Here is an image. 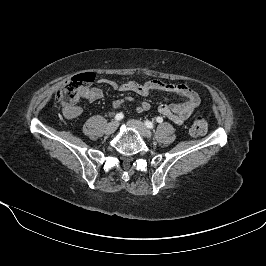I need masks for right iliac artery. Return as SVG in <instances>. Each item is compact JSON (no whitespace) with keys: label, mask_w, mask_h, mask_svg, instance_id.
Returning <instances> with one entry per match:
<instances>
[{"label":"right iliac artery","mask_w":266,"mask_h":266,"mask_svg":"<svg viewBox=\"0 0 266 266\" xmlns=\"http://www.w3.org/2000/svg\"><path fill=\"white\" fill-rule=\"evenodd\" d=\"M123 117H124L123 113H118L115 115V120L120 121L123 119Z\"/></svg>","instance_id":"right-iliac-artery-1"}]
</instances>
